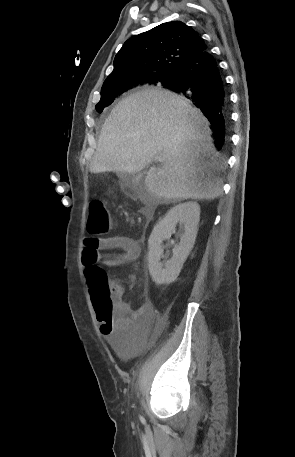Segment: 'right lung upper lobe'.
Returning <instances> with one entry per match:
<instances>
[{"label": "right lung upper lobe", "instance_id": "1", "mask_svg": "<svg viewBox=\"0 0 295 457\" xmlns=\"http://www.w3.org/2000/svg\"><path fill=\"white\" fill-rule=\"evenodd\" d=\"M206 48L198 33L185 23H162L123 44L101 91L129 86L128 91L160 78L175 77L187 61Z\"/></svg>", "mask_w": 295, "mask_h": 457}]
</instances>
